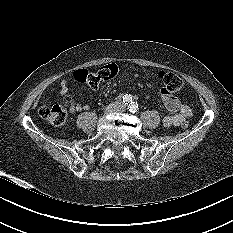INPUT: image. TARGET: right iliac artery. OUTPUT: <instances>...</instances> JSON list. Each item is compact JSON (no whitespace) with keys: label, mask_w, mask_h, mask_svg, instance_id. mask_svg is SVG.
<instances>
[{"label":"right iliac artery","mask_w":233,"mask_h":233,"mask_svg":"<svg viewBox=\"0 0 233 233\" xmlns=\"http://www.w3.org/2000/svg\"><path fill=\"white\" fill-rule=\"evenodd\" d=\"M131 100H132L131 95L126 94V95L123 96V102H124L125 104L130 103Z\"/></svg>","instance_id":"right-iliac-artery-1"}]
</instances>
